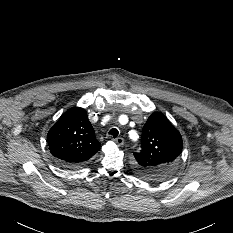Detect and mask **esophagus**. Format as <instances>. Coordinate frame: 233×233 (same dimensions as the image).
I'll use <instances>...</instances> for the list:
<instances>
[{"mask_svg": "<svg viewBox=\"0 0 233 233\" xmlns=\"http://www.w3.org/2000/svg\"><path fill=\"white\" fill-rule=\"evenodd\" d=\"M114 141L116 142L117 145L122 146L124 143V139L122 137H117L116 139H114Z\"/></svg>", "mask_w": 233, "mask_h": 233, "instance_id": "1", "label": "esophagus"}]
</instances>
